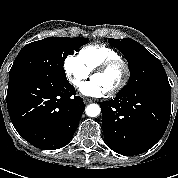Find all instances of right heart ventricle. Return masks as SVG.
Listing matches in <instances>:
<instances>
[{
  "label": "right heart ventricle",
  "mask_w": 178,
  "mask_h": 178,
  "mask_svg": "<svg viewBox=\"0 0 178 178\" xmlns=\"http://www.w3.org/2000/svg\"><path fill=\"white\" fill-rule=\"evenodd\" d=\"M79 58L89 72L94 71L102 63L120 58L119 53L104 44L87 45L80 49Z\"/></svg>",
  "instance_id": "e07e8e85"
}]
</instances>
